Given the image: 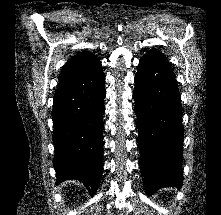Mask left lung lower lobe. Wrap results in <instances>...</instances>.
<instances>
[{
  "instance_id": "left-lung-lower-lobe-1",
  "label": "left lung lower lobe",
  "mask_w": 221,
  "mask_h": 215,
  "mask_svg": "<svg viewBox=\"0 0 221 215\" xmlns=\"http://www.w3.org/2000/svg\"><path fill=\"white\" fill-rule=\"evenodd\" d=\"M135 83L139 161L146 193L181 187L184 131L174 72L165 61L142 58Z\"/></svg>"
}]
</instances>
